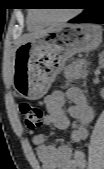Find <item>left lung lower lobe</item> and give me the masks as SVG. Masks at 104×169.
<instances>
[{
	"mask_svg": "<svg viewBox=\"0 0 104 169\" xmlns=\"http://www.w3.org/2000/svg\"><path fill=\"white\" fill-rule=\"evenodd\" d=\"M69 23H104V8L99 0H88L85 11Z\"/></svg>",
	"mask_w": 104,
	"mask_h": 169,
	"instance_id": "0a47b994",
	"label": "left lung lower lobe"
}]
</instances>
